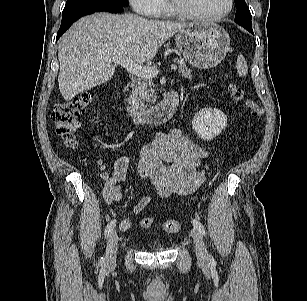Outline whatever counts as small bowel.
<instances>
[{"mask_svg":"<svg viewBox=\"0 0 307 301\" xmlns=\"http://www.w3.org/2000/svg\"><path fill=\"white\" fill-rule=\"evenodd\" d=\"M210 156L209 150L192 140L177 128L159 133L154 142L140 150L137 171L154 189L160 198L175 194L194 192L205 179L208 165L204 161ZM163 160L171 164L166 166ZM129 157L119 156L110 174L101 160H98L100 178L104 181L102 196L107 204L122 199L120 183L127 175ZM203 166V168H201ZM153 200V195H145L134 207L139 214ZM120 230L127 232L132 228L128 219L118 220Z\"/></svg>","mask_w":307,"mask_h":301,"instance_id":"1","label":"small bowel"}]
</instances>
